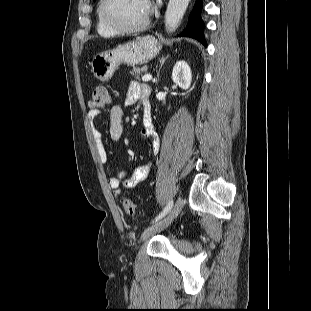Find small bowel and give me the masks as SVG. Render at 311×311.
<instances>
[{
	"label": "small bowel",
	"instance_id": "small-bowel-1",
	"mask_svg": "<svg viewBox=\"0 0 311 311\" xmlns=\"http://www.w3.org/2000/svg\"><path fill=\"white\" fill-rule=\"evenodd\" d=\"M151 89L146 84L131 82L124 100V106L128 107L140 101L143 106V128L141 135L147 138L152 150L157 154L160 150V144L157 138V131L152 122L150 110ZM101 114L98 109H90L86 115V120L90 128V133L96 146L99 158L106 162L107 154L102 141V133L96 125V118ZM123 116L124 110L122 105H113L109 111V135L113 141H119L123 135ZM150 171L148 164L134 167L130 170H124L117 175L110 176L107 179L108 186L115 192L116 196L120 194V187L134 188L144 181Z\"/></svg>",
	"mask_w": 311,
	"mask_h": 311
}]
</instances>
